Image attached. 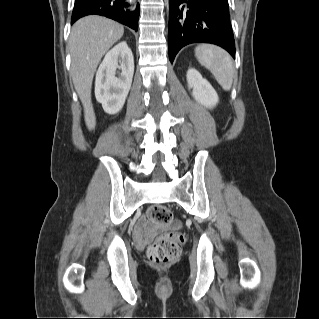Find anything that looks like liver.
Instances as JSON below:
<instances>
[{"label":"liver","mask_w":319,"mask_h":319,"mask_svg":"<svg viewBox=\"0 0 319 319\" xmlns=\"http://www.w3.org/2000/svg\"><path fill=\"white\" fill-rule=\"evenodd\" d=\"M123 34L121 24L97 15L79 19L72 27L69 39L71 76L84 107L85 123L89 130H93L96 125L91 102L95 71L104 54Z\"/></svg>","instance_id":"6515ba94"}]
</instances>
